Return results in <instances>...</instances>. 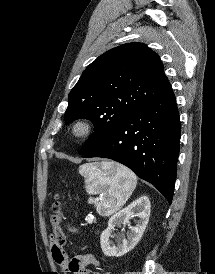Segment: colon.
<instances>
[{
	"instance_id": "5ec220e1",
	"label": "colon",
	"mask_w": 215,
	"mask_h": 274,
	"mask_svg": "<svg viewBox=\"0 0 215 274\" xmlns=\"http://www.w3.org/2000/svg\"><path fill=\"white\" fill-rule=\"evenodd\" d=\"M52 209H53V214L51 216V224H52L51 241H54L60 245H64L65 236L63 234L62 227H61L64 204L59 195L55 196Z\"/></svg>"
}]
</instances>
